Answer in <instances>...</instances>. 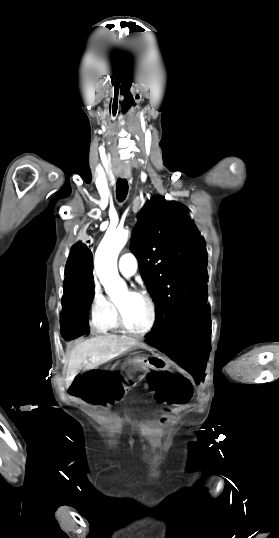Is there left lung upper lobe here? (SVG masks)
Segmentation results:
<instances>
[{
    "label": "left lung upper lobe",
    "mask_w": 279,
    "mask_h": 538,
    "mask_svg": "<svg viewBox=\"0 0 279 538\" xmlns=\"http://www.w3.org/2000/svg\"><path fill=\"white\" fill-rule=\"evenodd\" d=\"M130 248L155 302L148 336L169 335L207 304L205 243L184 206L156 196L138 213Z\"/></svg>",
    "instance_id": "5c2ea615"
}]
</instances>
